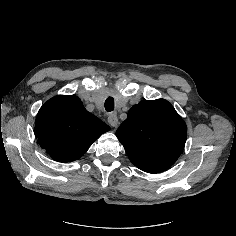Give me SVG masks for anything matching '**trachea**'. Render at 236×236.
Instances as JSON below:
<instances>
[{"label": "trachea", "instance_id": "obj_1", "mask_svg": "<svg viewBox=\"0 0 236 236\" xmlns=\"http://www.w3.org/2000/svg\"><path fill=\"white\" fill-rule=\"evenodd\" d=\"M104 106H105L106 111H113V109H114V99L112 97L107 98L106 101H105Z\"/></svg>", "mask_w": 236, "mask_h": 236}]
</instances>
